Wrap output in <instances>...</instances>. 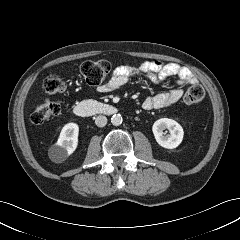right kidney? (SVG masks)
<instances>
[{
    "label": "right kidney",
    "mask_w": 240,
    "mask_h": 240,
    "mask_svg": "<svg viewBox=\"0 0 240 240\" xmlns=\"http://www.w3.org/2000/svg\"><path fill=\"white\" fill-rule=\"evenodd\" d=\"M79 126L76 123L66 124L59 135L56 144L52 147V151L57 161L71 155L78 145Z\"/></svg>",
    "instance_id": "1"
}]
</instances>
